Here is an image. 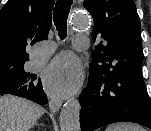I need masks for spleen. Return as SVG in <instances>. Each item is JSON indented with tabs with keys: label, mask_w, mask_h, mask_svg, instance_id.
Segmentation results:
<instances>
[{
	"label": "spleen",
	"mask_w": 151,
	"mask_h": 131,
	"mask_svg": "<svg viewBox=\"0 0 151 131\" xmlns=\"http://www.w3.org/2000/svg\"><path fill=\"white\" fill-rule=\"evenodd\" d=\"M105 131H144V129L138 125L118 123L109 125Z\"/></svg>",
	"instance_id": "spleen-1"
}]
</instances>
